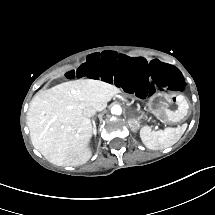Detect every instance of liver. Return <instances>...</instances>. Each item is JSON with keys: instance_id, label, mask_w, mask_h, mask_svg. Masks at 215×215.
I'll use <instances>...</instances> for the list:
<instances>
[{"instance_id": "1", "label": "liver", "mask_w": 215, "mask_h": 215, "mask_svg": "<svg viewBox=\"0 0 215 215\" xmlns=\"http://www.w3.org/2000/svg\"><path fill=\"white\" fill-rule=\"evenodd\" d=\"M120 89L94 79H78L57 84L37 93L27 111V126L32 145L58 166H78L90 158L85 148L91 136L85 107L97 111Z\"/></svg>"}]
</instances>
